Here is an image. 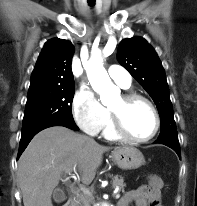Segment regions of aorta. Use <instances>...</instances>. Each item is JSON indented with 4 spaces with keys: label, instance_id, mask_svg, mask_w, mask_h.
I'll return each instance as SVG.
<instances>
[{
    "label": "aorta",
    "instance_id": "762f6f07",
    "mask_svg": "<svg viewBox=\"0 0 197 206\" xmlns=\"http://www.w3.org/2000/svg\"><path fill=\"white\" fill-rule=\"evenodd\" d=\"M102 61L100 52H94L90 60L84 65V68L92 88L100 94L101 102L106 105L109 103L112 92L116 90V87L112 84L102 65ZM98 206H109V204L103 202L98 204Z\"/></svg>",
    "mask_w": 197,
    "mask_h": 206
}]
</instances>
